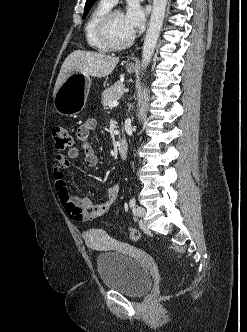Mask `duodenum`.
<instances>
[{
	"label": "duodenum",
	"instance_id": "obj_1",
	"mask_svg": "<svg viewBox=\"0 0 247 332\" xmlns=\"http://www.w3.org/2000/svg\"><path fill=\"white\" fill-rule=\"evenodd\" d=\"M118 153L121 158H125L128 153V143L125 139H122L118 144Z\"/></svg>",
	"mask_w": 247,
	"mask_h": 332
}]
</instances>
